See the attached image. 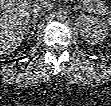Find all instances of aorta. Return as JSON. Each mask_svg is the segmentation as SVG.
Instances as JSON below:
<instances>
[{"label": "aorta", "instance_id": "762f6f07", "mask_svg": "<svg viewBox=\"0 0 111 106\" xmlns=\"http://www.w3.org/2000/svg\"><path fill=\"white\" fill-rule=\"evenodd\" d=\"M67 17V14L65 11L63 10H59L58 13H57V18L60 19V20H64L66 19Z\"/></svg>", "mask_w": 111, "mask_h": 106}]
</instances>
